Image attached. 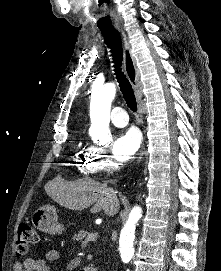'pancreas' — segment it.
Segmentation results:
<instances>
[{
  "label": "pancreas",
  "mask_w": 221,
  "mask_h": 271,
  "mask_svg": "<svg viewBox=\"0 0 221 271\" xmlns=\"http://www.w3.org/2000/svg\"><path fill=\"white\" fill-rule=\"evenodd\" d=\"M87 234H92L90 233V231H85V229H80V231H78V233H75L74 237H73V241L74 242H85V237Z\"/></svg>",
  "instance_id": "obj_1"
}]
</instances>
